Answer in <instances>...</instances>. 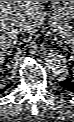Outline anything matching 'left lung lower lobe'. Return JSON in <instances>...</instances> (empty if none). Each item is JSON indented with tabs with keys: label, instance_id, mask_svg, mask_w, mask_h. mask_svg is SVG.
I'll use <instances>...</instances> for the list:
<instances>
[{
	"label": "left lung lower lobe",
	"instance_id": "1",
	"mask_svg": "<svg viewBox=\"0 0 74 122\" xmlns=\"http://www.w3.org/2000/svg\"><path fill=\"white\" fill-rule=\"evenodd\" d=\"M60 86L67 91L73 92L74 93V77L71 74L68 76L65 80L60 82Z\"/></svg>",
	"mask_w": 74,
	"mask_h": 122
}]
</instances>
